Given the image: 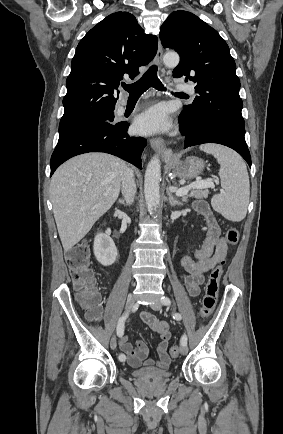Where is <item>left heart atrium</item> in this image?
<instances>
[{"mask_svg": "<svg viewBox=\"0 0 283 434\" xmlns=\"http://www.w3.org/2000/svg\"><path fill=\"white\" fill-rule=\"evenodd\" d=\"M135 130L140 134H154L167 131L171 127V117L167 106L156 104L144 111L135 122Z\"/></svg>", "mask_w": 283, "mask_h": 434, "instance_id": "1", "label": "left heart atrium"}]
</instances>
